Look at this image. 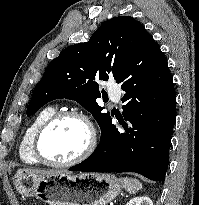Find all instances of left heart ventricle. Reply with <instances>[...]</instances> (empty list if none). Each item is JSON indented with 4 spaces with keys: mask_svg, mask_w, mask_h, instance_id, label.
I'll return each mask as SVG.
<instances>
[{
    "mask_svg": "<svg viewBox=\"0 0 199 205\" xmlns=\"http://www.w3.org/2000/svg\"><path fill=\"white\" fill-rule=\"evenodd\" d=\"M87 137V128L81 120L64 118L45 132L41 139V151L48 160L67 161L84 149Z\"/></svg>",
    "mask_w": 199,
    "mask_h": 205,
    "instance_id": "b2bd125f",
    "label": "left heart ventricle"
}]
</instances>
